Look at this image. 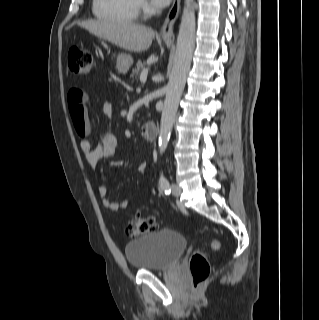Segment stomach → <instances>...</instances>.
I'll use <instances>...</instances> for the list:
<instances>
[{"label":"stomach","mask_w":319,"mask_h":320,"mask_svg":"<svg viewBox=\"0 0 319 320\" xmlns=\"http://www.w3.org/2000/svg\"><path fill=\"white\" fill-rule=\"evenodd\" d=\"M133 64L131 55L120 53L117 56L116 69L120 74L125 75Z\"/></svg>","instance_id":"obj_1"}]
</instances>
